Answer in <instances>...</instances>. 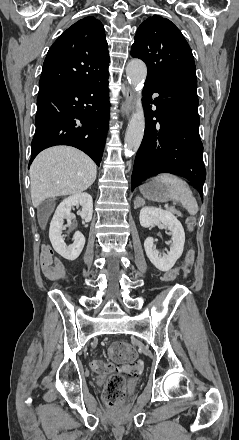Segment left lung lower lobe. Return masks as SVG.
I'll use <instances>...</instances> for the list:
<instances>
[{
    "mask_svg": "<svg viewBox=\"0 0 239 440\" xmlns=\"http://www.w3.org/2000/svg\"><path fill=\"white\" fill-rule=\"evenodd\" d=\"M153 93L159 94L154 101ZM150 104L156 106L155 111ZM143 107L145 134L135 158L131 188L148 177L172 173L191 181L203 198L206 170L199 137L197 82L146 79Z\"/></svg>",
    "mask_w": 239,
    "mask_h": 440,
    "instance_id": "1",
    "label": "left lung lower lobe"
}]
</instances>
